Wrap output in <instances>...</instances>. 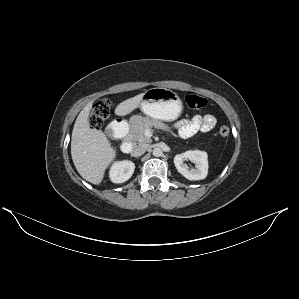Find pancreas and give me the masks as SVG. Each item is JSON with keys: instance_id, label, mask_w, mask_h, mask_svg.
<instances>
[{"instance_id": "1", "label": "pancreas", "mask_w": 299, "mask_h": 299, "mask_svg": "<svg viewBox=\"0 0 299 299\" xmlns=\"http://www.w3.org/2000/svg\"><path fill=\"white\" fill-rule=\"evenodd\" d=\"M131 123L132 125L129 138L140 144H149L152 142V140L145 135V131L152 127L162 129L164 131H170L168 126L156 119L141 117L138 122H135L133 118Z\"/></svg>"}]
</instances>
